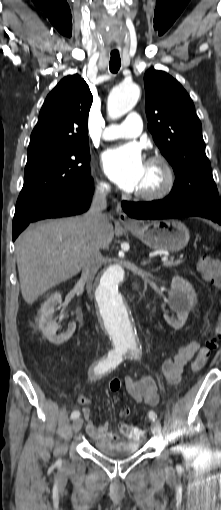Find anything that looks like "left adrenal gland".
Here are the masks:
<instances>
[{"label": "left adrenal gland", "mask_w": 221, "mask_h": 510, "mask_svg": "<svg viewBox=\"0 0 221 510\" xmlns=\"http://www.w3.org/2000/svg\"><path fill=\"white\" fill-rule=\"evenodd\" d=\"M150 263H151V261H150V260H148V261H143V262H141V265H142V266H146V265H149Z\"/></svg>", "instance_id": "left-adrenal-gland-1"}]
</instances>
